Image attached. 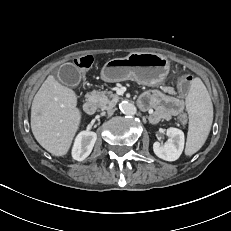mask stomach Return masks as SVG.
I'll return each mask as SVG.
<instances>
[{"mask_svg":"<svg viewBox=\"0 0 231 231\" xmlns=\"http://www.w3.org/2000/svg\"><path fill=\"white\" fill-rule=\"evenodd\" d=\"M170 64L166 57L157 53H131L125 58L106 62L101 78L106 82L134 80L144 85H155L167 76Z\"/></svg>","mask_w":231,"mask_h":231,"instance_id":"obj_1","label":"stomach"}]
</instances>
